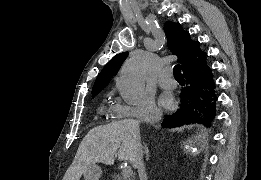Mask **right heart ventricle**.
<instances>
[{"mask_svg":"<svg viewBox=\"0 0 261 180\" xmlns=\"http://www.w3.org/2000/svg\"><path fill=\"white\" fill-rule=\"evenodd\" d=\"M118 112V110L114 106L106 107L105 105H101L99 108L100 120L99 121H109L110 117H114V114Z\"/></svg>","mask_w":261,"mask_h":180,"instance_id":"obj_1","label":"right heart ventricle"}]
</instances>
